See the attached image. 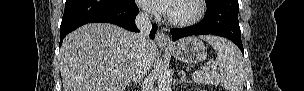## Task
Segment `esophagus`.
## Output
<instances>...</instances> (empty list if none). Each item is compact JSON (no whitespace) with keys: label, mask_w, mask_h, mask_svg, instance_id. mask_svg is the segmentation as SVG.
<instances>
[{"label":"esophagus","mask_w":304,"mask_h":91,"mask_svg":"<svg viewBox=\"0 0 304 91\" xmlns=\"http://www.w3.org/2000/svg\"><path fill=\"white\" fill-rule=\"evenodd\" d=\"M155 39L159 46H170L171 45L170 37L162 30L157 32Z\"/></svg>","instance_id":"1"}]
</instances>
